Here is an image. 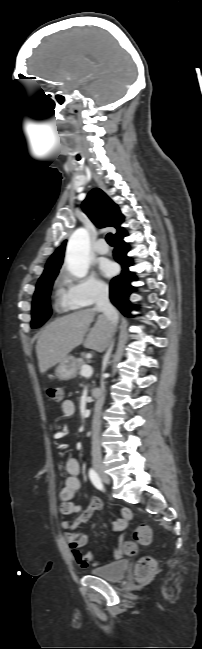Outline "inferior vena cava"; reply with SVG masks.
I'll return each instance as SVG.
<instances>
[{
	"mask_svg": "<svg viewBox=\"0 0 202 649\" xmlns=\"http://www.w3.org/2000/svg\"><path fill=\"white\" fill-rule=\"evenodd\" d=\"M95 303L96 307L95 309L97 311L102 312L112 323V326L115 327L116 324L118 323V312L116 309L113 307V305L109 301V288L106 285L99 286L97 289L96 293V298H95ZM114 342L112 341L109 345V348L107 350L105 360L108 361L111 355V352L113 350ZM104 398V388L100 391L98 394L97 398V403H96V410L97 412L100 410V407L102 405ZM99 429H100V421L98 414L95 418L94 425H93V438H92V455H100L101 449H100V440H99Z\"/></svg>",
	"mask_w": 202,
	"mask_h": 649,
	"instance_id": "inferior-vena-cava-1",
	"label": "inferior vena cava"
}]
</instances>
